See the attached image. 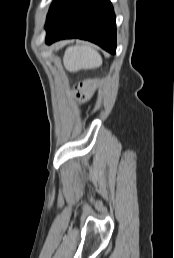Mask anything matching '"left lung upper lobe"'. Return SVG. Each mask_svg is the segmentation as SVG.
<instances>
[{"instance_id": "obj_1", "label": "left lung upper lobe", "mask_w": 174, "mask_h": 258, "mask_svg": "<svg viewBox=\"0 0 174 258\" xmlns=\"http://www.w3.org/2000/svg\"><path fill=\"white\" fill-rule=\"evenodd\" d=\"M57 2V0H54L53 2H52V5H51V7H50V10L52 9V7L55 5V3ZM49 10V11H50Z\"/></svg>"}]
</instances>
